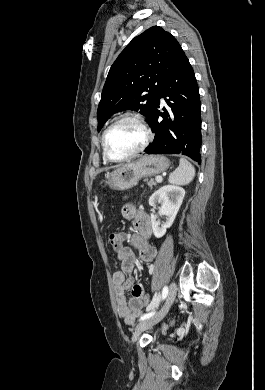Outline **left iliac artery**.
<instances>
[{
    "instance_id": "1",
    "label": "left iliac artery",
    "mask_w": 265,
    "mask_h": 390,
    "mask_svg": "<svg viewBox=\"0 0 265 390\" xmlns=\"http://www.w3.org/2000/svg\"><path fill=\"white\" fill-rule=\"evenodd\" d=\"M167 294H168V287L165 286V287L163 288L162 294H161V295H158V296H157V299L162 298V300H163V299L166 298ZM154 314H155V312H150V313L144 314L143 316H141L140 321L145 320V319H148V318H150L151 316H153Z\"/></svg>"
}]
</instances>
